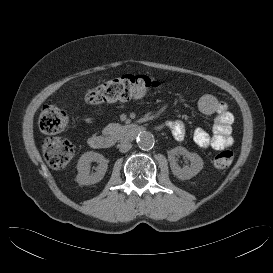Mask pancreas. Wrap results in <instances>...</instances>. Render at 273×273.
<instances>
[{
    "label": "pancreas",
    "instance_id": "1",
    "mask_svg": "<svg viewBox=\"0 0 273 273\" xmlns=\"http://www.w3.org/2000/svg\"><path fill=\"white\" fill-rule=\"evenodd\" d=\"M125 130V126H122L118 123H111L103 129L102 133L113 138H119L125 132Z\"/></svg>",
    "mask_w": 273,
    "mask_h": 273
}]
</instances>
